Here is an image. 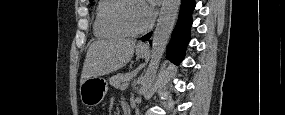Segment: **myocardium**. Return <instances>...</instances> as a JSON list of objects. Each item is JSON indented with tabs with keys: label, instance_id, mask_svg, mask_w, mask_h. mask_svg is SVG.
Listing matches in <instances>:
<instances>
[{
	"label": "myocardium",
	"instance_id": "obj_1",
	"mask_svg": "<svg viewBox=\"0 0 285 115\" xmlns=\"http://www.w3.org/2000/svg\"><path fill=\"white\" fill-rule=\"evenodd\" d=\"M132 2H138L136 0H120L119 3L115 6L113 9L110 19L111 21L126 35L128 36H136L145 33L149 25L145 26L142 29L139 30H133L131 29L124 21L123 19V11L127 7L129 3Z\"/></svg>",
	"mask_w": 285,
	"mask_h": 115
}]
</instances>
